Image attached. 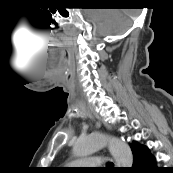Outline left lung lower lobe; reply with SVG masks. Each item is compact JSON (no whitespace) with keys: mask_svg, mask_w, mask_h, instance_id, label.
Segmentation results:
<instances>
[{"mask_svg":"<svg viewBox=\"0 0 173 173\" xmlns=\"http://www.w3.org/2000/svg\"><path fill=\"white\" fill-rule=\"evenodd\" d=\"M133 153V167L125 173H153L156 169V160L151 155L147 146L133 142L131 145Z\"/></svg>","mask_w":173,"mask_h":173,"instance_id":"left-lung-lower-lobe-1","label":"left lung lower lobe"}]
</instances>
